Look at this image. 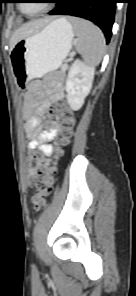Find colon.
I'll return each instance as SVG.
<instances>
[{
    "label": "colon",
    "instance_id": "colon-1",
    "mask_svg": "<svg viewBox=\"0 0 136 296\" xmlns=\"http://www.w3.org/2000/svg\"><path fill=\"white\" fill-rule=\"evenodd\" d=\"M51 116L58 117L61 122V144L66 145L72 136L76 120L74 113L66 106L60 105L54 107L50 112ZM62 149L57 150V155H61ZM41 164V156L38 152H32L28 166L31 180L35 181V193L32 198V204L35 209L42 207L48 196L50 195L54 183V167L39 170Z\"/></svg>",
    "mask_w": 136,
    "mask_h": 296
}]
</instances>
